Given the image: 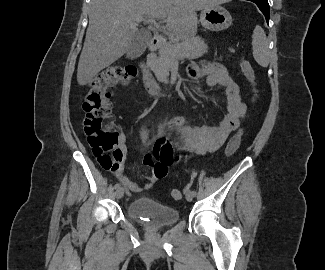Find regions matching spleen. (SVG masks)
<instances>
[{
    "label": "spleen",
    "mask_w": 325,
    "mask_h": 270,
    "mask_svg": "<svg viewBox=\"0 0 325 270\" xmlns=\"http://www.w3.org/2000/svg\"><path fill=\"white\" fill-rule=\"evenodd\" d=\"M253 57L256 62L267 67L269 64V47L266 34L261 26L257 25L252 35Z\"/></svg>",
    "instance_id": "spleen-1"
}]
</instances>
